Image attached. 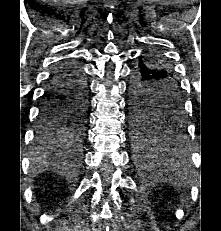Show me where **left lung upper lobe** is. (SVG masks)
<instances>
[{
	"instance_id": "obj_1",
	"label": "left lung upper lobe",
	"mask_w": 221,
	"mask_h": 231,
	"mask_svg": "<svg viewBox=\"0 0 221 231\" xmlns=\"http://www.w3.org/2000/svg\"><path fill=\"white\" fill-rule=\"evenodd\" d=\"M154 62L148 61V67L157 73L163 74L157 78L156 82L163 85L160 90H144L143 97L148 99L146 102L152 101L153 95L158 96L161 103L153 106L146 104L139 107L137 104H132L130 109V119L134 131V139L137 142H145L158 136L155 134L157 130H166L164 127L173 126L182 120L183 117V102L179 88V83L175 79L171 68L160 57L153 55ZM155 92V93H154Z\"/></svg>"
}]
</instances>
